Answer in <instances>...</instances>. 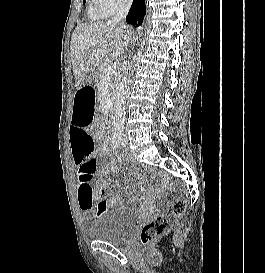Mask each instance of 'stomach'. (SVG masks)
I'll list each match as a JSON object with an SVG mask.
<instances>
[{"mask_svg":"<svg viewBox=\"0 0 265 273\" xmlns=\"http://www.w3.org/2000/svg\"><path fill=\"white\" fill-rule=\"evenodd\" d=\"M96 86L93 85L91 80H87L84 85H77V90H95Z\"/></svg>","mask_w":265,"mask_h":273,"instance_id":"1","label":"stomach"}]
</instances>
